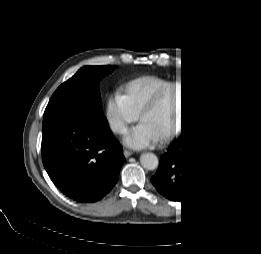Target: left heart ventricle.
<instances>
[{"label":"left heart ventricle","mask_w":261,"mask_h":254,"mask_svg":"<svg viewBox=\"0 0 261 254\" xmlns=\"http://www.w3.org/2000/svg\"><path fill=\"white\" fill-rule=\"evenodd\" d=\"M166 100L167 109L161 104L150 111L142 120L149 131L157 136L171 132L184 112L186 102L184 93L174 91Z\"/></svg>","instance_id":"obj_1"}]
</instances>
